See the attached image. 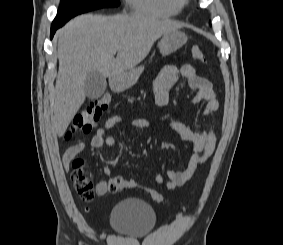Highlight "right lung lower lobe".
<instances>
[{
    "label": "right lung lower lobe",
    "mask_w": 283,
    "mask_h": 245,
    "mask_svg": "<svg viewBox=\"0 0 283 245\" xmlns=\"http://www.w3.org/2000/svg\"><path fill=\"white\" fill-rule=\"evenodd\" d=\"M62 25L60 24H52V27H51V35H50V38L52 39L54 33L56 32V30L61 27Z\"/></svg>",
    "instance_id": "right-lung-lower-lobe-1"
}]
</instances>
